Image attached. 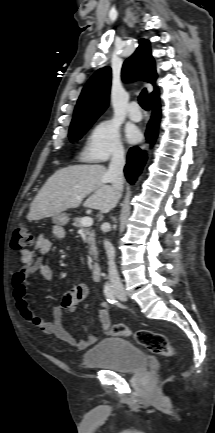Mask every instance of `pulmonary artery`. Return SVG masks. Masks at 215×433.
I'll return each mask as SVG.
<instances>
[{"label": "pulmonary artery", "mask_w": 215, "mask_h": 433, "mask_svg": "<svg viewBox=\"0 0 215 433\" xmlns=\"http://www.w3.org/2000/svg\"><path fill=\"white\" fill-rule=\"evenodd\" d=\"M128 114L129 118L133 121H140L142 119V113L137 102L133 101L130 103Z\"/></svg>", "instance_id": "pulmonary-artery-1"}]
</instances>
